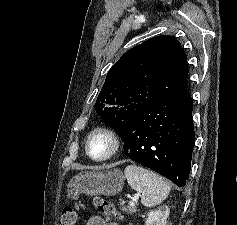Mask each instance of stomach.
<instances>
[{
  "label": "stomach",
  "instance_id": "1",
  "mask_svg": "<svg viewBox=\"0 0 237 225\" xmlns=\"http://www.w3.org/2000/svg\"><path fill=\"white\" fill-rule=\"evenodd\" d=\"M125 176L120 169L112 168L106 171H82L67 185L68 196L77 199L79 194L90 196H114L124 186Z\"/></svg>",
  "mask_w": 237,
  "mask_h": 225
}]
</instances>
